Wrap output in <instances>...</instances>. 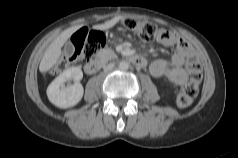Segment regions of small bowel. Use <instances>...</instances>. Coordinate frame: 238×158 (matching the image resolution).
<instances>
[{"instance_id": "small-bowel-1", "label": "small bowel", "mask_w": 238, "mask_h": 158, "mask_svg": "<svg viewBox=\"0 0 238 158\" xmlns=\"http://www.w3.org/2000/svg\"><path fill=\"white\" fill-rule=\"evenodd\" d=\"M164 46H173L175 51L170 60L157 59L149 67L155 78H164L172 84L182 85L187 81V72L184 69L185 61L193 55V48L179 35L170 33L169 37L159 40Z\"/></svg>"}]
</instances>
